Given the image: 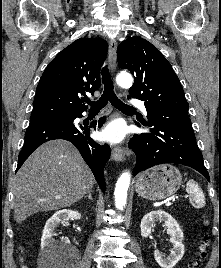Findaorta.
Wrapping results in <instances>:
<instances>
[{"mask_svg":"<svg viewBox=\"0 0 221 268\" xmlns=\"http://www.w3.org/2000/svg\"><path fill=\"white\" fill-rule=\"evenodd\" d=\"M117 84L123 88H129L133 84V78L129 73H120L116 77ZM131 175L129 172H123L116 183L114 197L115 206L122 210L127 202V191L130 185Z\"/></svg>","mask_w":221,"mask_h":268,"instance_id":"1","label":"aorta"}]
</instances>
